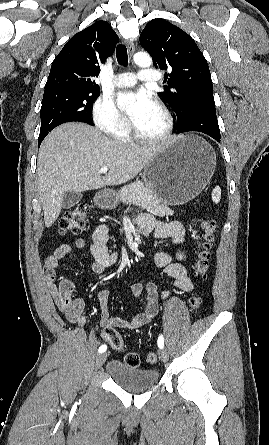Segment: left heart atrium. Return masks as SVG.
<instances>
[{"instance_id": "obj_1", "label": "left heart atrium", "mask_w": 269, "mask_h": 445, "mask_svg": "<svg viewBox=\"0 0 269 445\" xmlns=\"http://www.w3.org/2000/svg\"><path fill=\"white\" fill-rule=\"evenodd\" d=\"M155 105L152 97L144 92L139 91L134 94V105H133V111L131 113L132 120H137L139 117H141L144 113L149 111L151 108H153Z\"/></svg>"}]
</instances>
